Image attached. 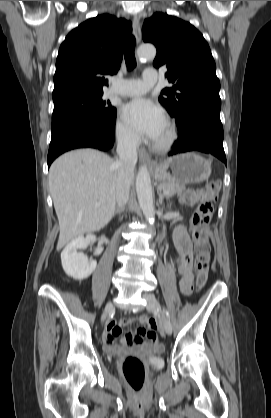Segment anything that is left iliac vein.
<instances>
[{
  "mask_svg": "<svg viewBox=\"0 0 271 418\" xmlns=\"http://www.w3.org/2000/svg\"><path fill=\"white\" fill-rule=\"evenodd\" d=\"M143 298L146 300V308L149 311L155 312L158 314L161 325L164 331L170 335L172 333V324L169 319L164 315L163 311L161 310L160 304L156 299L154 294L145 293L143 294Z\"/></svg>",
  "mask_w": 271,
  "mask_h": 418,
  "instance_id": "left-iliac-vein-1",
  "label": "left iliac vein"
}]
</instances>
